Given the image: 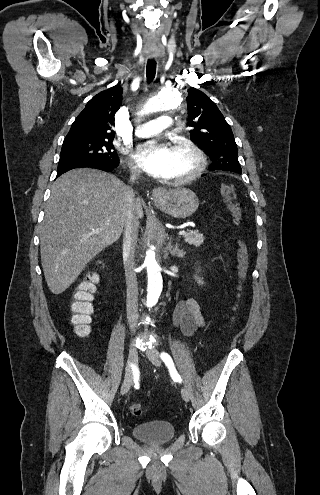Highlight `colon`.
<instances>
[{
	"instance_id": "1",
	"label": "colon",
	"mask_w": 320,
	"mask_h": 495,
	"mask_svg": "<svg viewBox=\"0 0 320 495\" xmlns=\"http://www.w3.org/2000/svg\"><path fill=\"white\" fill-rule=\"evenodd\" d=\"M220 195L226 202V205L232 215L235 224H240L242 220V211L237 197L235 188L232 184L224 183L220 186ZM237 269L240 285L238 287L237 301L234 307V312H237L240 302L243 283L246 279L249 267V247L245 240L241 239L238 242L237 250ZM96 276L91 275L88 280L82 282L77 287L71 303L72 321L75 325V330L80 335H85L89 332L90 318L93 312V293L95 289ZM235 320V314L231 318V324ZM130 412L134 416H139L142 413V405L134 402L130 405Z\"/></svg>"
}]
</instances>
